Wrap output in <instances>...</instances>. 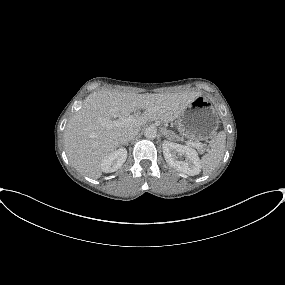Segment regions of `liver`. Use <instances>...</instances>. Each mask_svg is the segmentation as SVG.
<instances>
[{"mask_svg": "<svg viewBox=\"0 0 285 285\" xmlns=\"http://www.w3.org/2000/svg\"><path fill=\"white\" fill-rule=\"evenodd\" d=\"M200 95L199 92L136 94L110 90L91 93L66 125L67 157L79 173L98 179L102 175V161L119 146L123 130L138 132L147 122H172ZM138 109H143V114L133 122L113 127L101 124L103 120L129 117Z\"/></svg>", "mask_w": 285, "mask_h": 285, "instance_id": "1", "label": "liver"}]
</instances>
